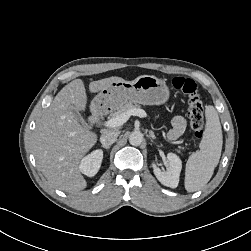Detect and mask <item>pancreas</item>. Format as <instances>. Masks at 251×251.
I'll return each mask as SVG.
<instances>
[{
    "mask_svg": "<svg viewBox=\"0 0 251 251\" xmlns=\"http://www.w3.org/2000/svg\"><path fill=\"white\" fill-rule=\"evenodd\" d=\"M134 108H137V109H140V106L139 105H134L132 102H126L125 104H123L122 106H120L119 108H117L116 110H114L111 114H110V117L113 118V117H116L128 110H131V109H134ZM178 153H181L180 150H176Z\"/></svg>",
    "mask_w": 251,
    "mask_h": 251,
    "instance_id": "pancreas-1",
    "label": "pancreas"
}]
</instances>
